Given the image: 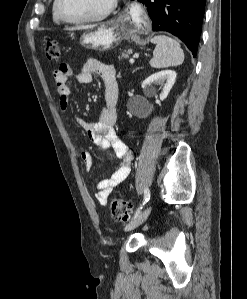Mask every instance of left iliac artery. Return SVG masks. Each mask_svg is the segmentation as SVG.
I'll use <instances>...</instances> for the list:
<instances>
[{
	"label": "left iliac artery",
	"instance_id": "obj_1",
	"mask_svg": "<svg viewBox=\"0 0 247 299\" xmlns=\"http://www.w3.org/2000/svg\"><path fill=\"white\" fill-rule=\"evenodd\" d=\"M150 199V190L148 188H145L144 190V200L143 203L140 205V207L136 210L133 219H135L141 212L143 206L149 201Z\"/></svg>",
	"mask_w": 247,
	"mask_h": 299
}]
</instances>
